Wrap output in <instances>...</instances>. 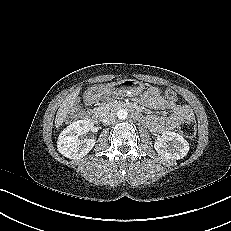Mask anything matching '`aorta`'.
Here are the masks:
<instances>
[{"label": "aorta", "instance_id": "aorta-1", "mask_svg": "<svg viewBox=\"0 0 231 231\" xmlns=\"http://www.w3.org/2000/svg\"><path fill=\"white\" fill-rule=\"evenodd\" d=\"M117 116L120 120H125L128 116V112L127 110L125 109H120L118 112H117Z\"/></svg>", "mask_w": 231, "mask_h": 231}]
</instances>
